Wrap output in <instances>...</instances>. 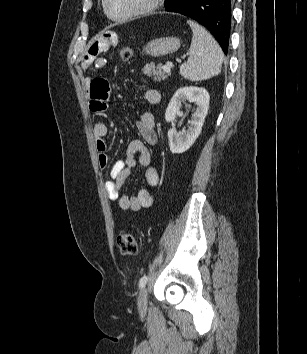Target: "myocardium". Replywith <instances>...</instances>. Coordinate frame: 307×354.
<instances>
[{
    "mask_svg": "<svg viewBox=\"0 0 307 354\" xmlns=\"http://www.w3.org/2000/svg\"><path fill=\"white\" fill-rule=\"evenodd\" d=\"M161 1L162 0H148L142 7L130 14L124 16H114L109 11L108 0H102L105 14L109 19L115 22H126L147 15L156 10L159 7Z\"/></svg>",
    "mask_w": 307,
    "mask_h": 354,
    "instance_id": "myocardium-1",
    "label": "myocardium"
}]
</instances>
